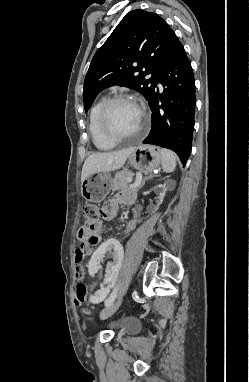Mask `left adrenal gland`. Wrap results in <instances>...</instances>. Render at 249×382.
<instances>
[{
	"instance_id": "1",
	"label": "left adrenal gland",
	"mask_w": 249,
	"mask_h": 382,
	"mask_svg": "<svg viewBox=\"0 0 249 382\" xmlns=\"http://www.w3.org/2000/svg\"><path fill=\"white\" fill-rule=\"evenodd\" d=\"M154 176L153 175H150L148 177H145L142 181V183L139 185L138 187V190H140L144 185H145V182L148 180V179H152Z\"/></svg>"
}]
</instances>
